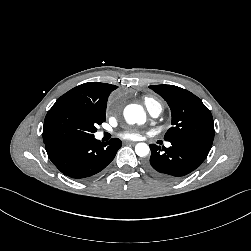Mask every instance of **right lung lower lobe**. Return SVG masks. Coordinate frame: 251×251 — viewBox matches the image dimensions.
<instances>
[{"label":"right lung lower lobe","instance_id":"right-lung-lower-lobe-1","mask_svg":"<svg viewBox=\"0 0 251 251\" xmlns=\"http://www.w3.org/2000/svg\"><path fill=\"white\" fill-rule=\"evenodd\" d=\"M121 145L117 138L102 143L94 136L45 143L52 163L74 179H85L102 171L114 159Z\"/></svg>","mask_w":251,"mask_h":251}]
</instances>
